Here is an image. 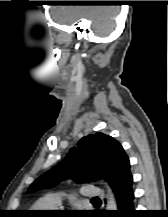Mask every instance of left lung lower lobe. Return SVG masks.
<instances>
[{"label":"left lung lower lobe","mask_w":168,"mask_h":217,"mask_svg":"<svg viewBox=\"0 0 168 217\" xmlns=\"http://www.w3.org/2000/svg\"><path fill=\"white\" fill-rule=\"evenodd\" d=\"M133 177L130 173V163L126 166L124 179L113 189L118 202L119 210L113 213L115 217H133L134 216V190L132 187Z\"/></svg>","instance_id":"0a47b994"}]
</instances>
